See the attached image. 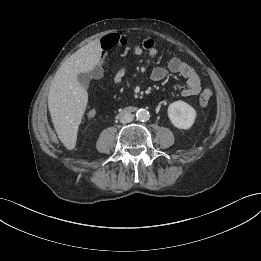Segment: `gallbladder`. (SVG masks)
Wrapping results in <instances>:
<instances>
[{
  "label": "gallbladder",
  "instance_id": "bac80fb5",
  "mask_svg": "<svg viewBox=\"0 0 261 261\" xmlns=\"http://www.w3.org/2000/svg\"><path fill=\"white\" fill-rule=\"evenodd\" d=\"M78 82L83 86V87H88L89 82L91 80V73H80L77 76Z\"/></svg>",
  "mask_w": 261,
  "mask_h": 261
}]
</instances>
